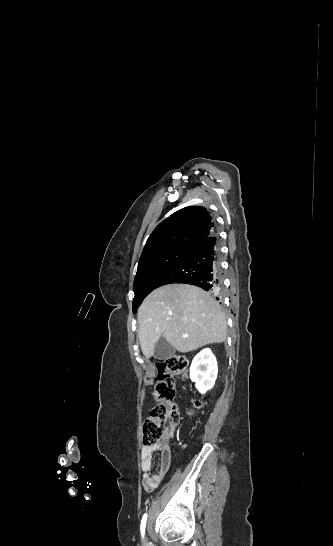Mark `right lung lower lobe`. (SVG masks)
Returning <instances> with one entry per match:
<instances>
[{
	"mask_svg": "<svg viewBox=\"0 0 333 546\" xmlns=\"http://www.w3.org/2000/svg\"><path fill=\"white\" fill-rule=\"evenodd\" d=\"M172 283L195 285L216 296L219 294L221 284L220 246L216 231L195 244L180 261L161 277L156 288Z\"/></svg>",
	"mask_w": 333,
	"mask_h": 546,
	"instance_id": "obj_1",
	"label": "right lung lower lobe"
}]
</instances>
